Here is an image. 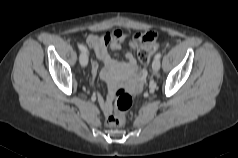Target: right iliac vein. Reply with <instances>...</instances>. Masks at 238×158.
Returning <instances> with one entry per match:
<instances>
[{"label":"right iliac vein","mask_w":238,"mask_h":158,"mask_svg":"<svg viewBox=\"0 0 238 158\" xmlns=\"http://www.w3.org/2000/svg\"><path fill=\"white\" fill-rule=\"evenodd\" d=\"M79 61L81 66L86 67L88 64V54L87 52H81L79 56Z\"/></svg>","instance_id":"1"}]
</instances>
